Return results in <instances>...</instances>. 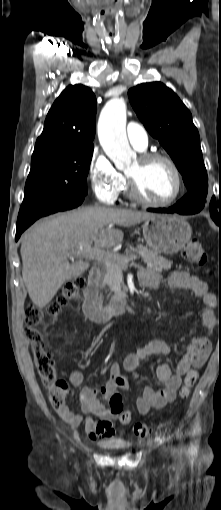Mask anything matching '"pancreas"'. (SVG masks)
<instances>
[{
  "label": "pancreas",
  "mask_w": 221,
  "mask_h": 510,
  "mask_svg": "<svg viewBox=\"0 0 221 510\" xmlns=\"http://www.w3.org/2000/svg\"><path fill=\"white\" fill-rule=\"evenodd\" d=\"M135 253L139 254L143 262L150 269L158 272L171 269L172 261L167 260L144 245L138 244ZM135 253L129 250L123 255L115 253L116 257L112 259L110 264L104 263L102 267V285H108L112 290L118 287L122 283V271L126 270L128 267V263L124 262L122 259L135 255Z\"/></svg>",
  "instance_id": "pancreas-1"
}]
</instances>
